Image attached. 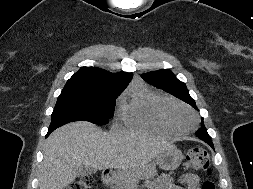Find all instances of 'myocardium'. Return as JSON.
Wrapping results in <instances>:
<instances>
[{
	"label": "myocardium",
	"mask_w": 253,
	"mask_h": 189,
	"mask_svg": "<svg viewBox=\"0 0 253 189\" xmlns=\"http://www.w3.org/2000/svg\"><path fill=\"white\" fill-rule=\"evenodd\" d=\"M184 113L188 117L187 123H182L179 120V115ZM162 115L164 120L177 132L186 133L192 131L197 125V118L194 112L187 106L171 102L163 106Z\"/></svg>",
	"instance_id": "f54148a6"
}]
</instances>
